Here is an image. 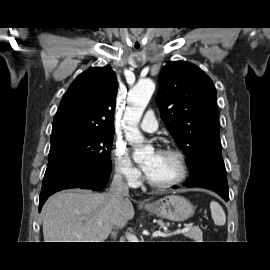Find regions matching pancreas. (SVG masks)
Returning a JSON list of instances; mask_svg holds the SVG:
<instances>
[{
    "label": "pancreas",
    "instance_id": "cf45deb5",
    "mask_svg": "<svg viewBox=\"0 0 270 270\" xmlns=\"http://www.w3.org/2000/svg\"><path fill=\"white\" fill-rule=\"evenodd\" d=\"M157 223L161 227L165 226V223L161 220H159ZM185 235L190 239L195 240V242H201L203 239V233L198 227H190V229L186 232Z\"/></svg>",
    "mask_w": 270,
    "mask_h": 270
}]
</instances>
